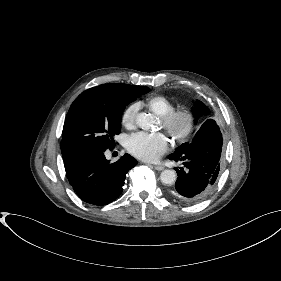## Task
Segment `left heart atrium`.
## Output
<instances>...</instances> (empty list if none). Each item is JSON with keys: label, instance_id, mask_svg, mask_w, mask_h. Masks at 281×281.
<instances>
[{"label": "left heart atrium", "instance_id": "39dd6f15", "mask_svg": "<svg viewBox=\"0 0 281 281\" xmlns=\"http://www.w3.org/2000/svg\"><path fill=\"white\" fill-rule=\"evenodd\" d=\"M126 147L135 157L143 161L155 162L169 150V141L162 133L139 132L128 138Z\"/></svg>", "mask_w": 281, "mask_h": 281}]
</instances>
